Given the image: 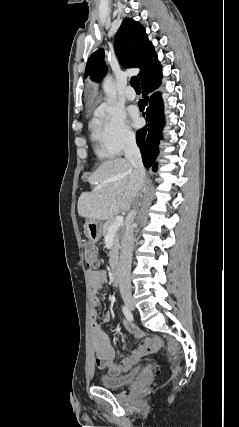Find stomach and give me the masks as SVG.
Segmentation results:
<instances>
[{
	"mask_svg": "<svg viewBox=\"0 0 239 427\" xmlns=\"http://www.w3.org/2000/svg\"><path fill=\"white\" fill-rule=\"evenodd\" d=\"M85 234L91 242H98L103 235V223L99 220L87 219L84 225Z\"/></svg>",
	"mask_w": 239,
	"mask_h": 427,
	"instance_id": "obj_1",
	"label": "stomach"
}]
</instances>
